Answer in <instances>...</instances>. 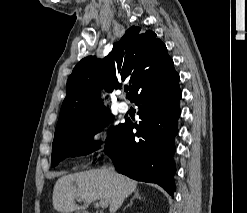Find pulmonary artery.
Returning <instances> with one entry per match:
<instances>
[{
    "mask_svg": "<svg viewBox=\"0 0 247 213\" xmlns=\"http://www.w3.org/2000/svg\"><path fill=\"white\" fill-rule=\"evenodd\" d=\"M118 110L122 113H125L129 110V105L127 102L125 101H121L119 104H118Z\"/></svg>",
    "mask_w": 247,
    "mask_h": 213,
    "instance_id": "e3ab8cb5",
    "label": "pulmonary artery"
}]
</instances>
